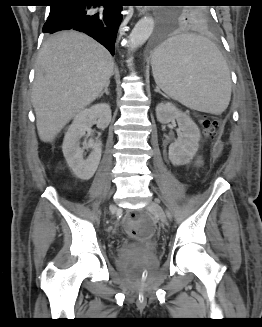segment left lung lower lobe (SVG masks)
Segmentation results:
<instances>
[{
    "label": "left lung lower lobe",
    "instance_id": "0a47b994",
    "mask_svg": "<svg viewBox=\"0 0 262 327\" xmlns=\"http://www.w3.org/2000/svg\"><path fill=\"white\" fill-rule=\"evenodd\" d=\"M163 39H164L163 31L162 30L157 31L150 42L151 50H156L157 48H159L161 44H163L162 43Z\"/></svg>",
    "mask_w": 262,
    "mask_h": 327
}]
</instances>
